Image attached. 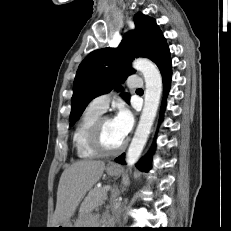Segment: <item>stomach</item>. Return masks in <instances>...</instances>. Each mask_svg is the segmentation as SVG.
Returning <instances> with one entry per match:
<instances>
[{"label": "stomach", "instance_id": "1", "mask_svg": "<svg viewBox=\"0 0 231 231\" xmlns=\"http://www.w3.org/2000/svg\"><path fill=\"white\" fill-rule=\"evenodd\" d=\"M105 170L109 176H119L122 173L121 167L116 165V164H112V163L109 164ZM83 226H84V221L82 219H80V220H78V222L75 225H73L71 223L61 224V225H58L56 227H53V228H56L53 230H55V231H69V230H74L71 228H86Z\"/></svg>", "mask_w": 231, "mask_h": 231}]
</instances>
